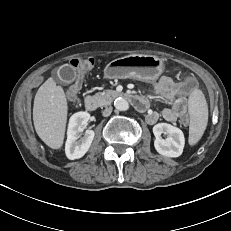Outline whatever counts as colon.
Masks as SVG:
<instances>
[{
  "instance_id": "1",
  "label": "colon",
  "mask_w": 231,
  "mask_h": 231,
  "mask_svg": "<svg viewBox=\"0 0 231 231\" xmlns=\"http://www.w3.org/2000/svg\"><path fill=\"white\" fill-rule=\"evenodd\" d=\"M94 65L93 58H80L71 61V66L75 69H78V73L75 76V81L68 87L67 89V96L69 100H73L74 98L78 97L79 95V88L83 84V80L87 74V70L91 69ZM43 78H39V82H42ZM181 90L183 93L190 94L194 91L196 87V83L194 79L187 78L181 84ZM37 84L33 85V88H36ZM27 95H30V92H27ZM189 122L187 117L182 119V123L187 125Z\"/></svg>"
}]
</instances>
